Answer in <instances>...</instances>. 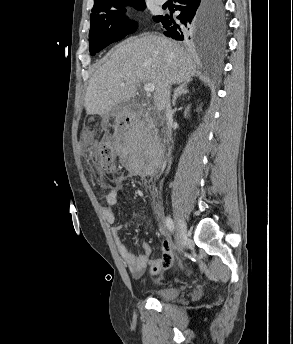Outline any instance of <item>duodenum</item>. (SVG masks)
I'll return each instance as SVG.
<instances>
[{
	"label": "duodenum",
	"instance_id": "obj_1",
	"mask_svg": "<svg viewBox=\"0 0 293 344\" xmlns=\"http://www.w3.org/2000/svg\"><path fill=\"white\" fill-rule=\"evenodd\" d=\"M137 122V120L134 117L128 116V117H123L120 121L119 124L120 125H126V124H130L133 125Z\"/></svg>",
	"mask_w": 293,
	"mask_h": 344
}]
</instances>
